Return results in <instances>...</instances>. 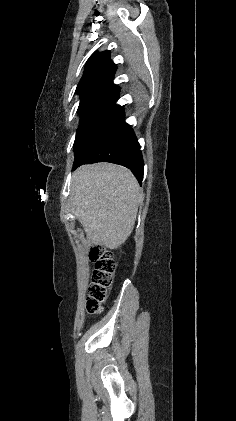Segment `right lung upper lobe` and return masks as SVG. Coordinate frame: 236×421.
<instances>
[{
  "label": "right lung upper lobe",
  "mask_w": 236,
  "mask_h": 421,
  "mask_svg": "<svg viewBox=\"0 0 236 421\" xmlns=\"http://www.w3.org/2000/svg\"><path fill=\"white\" fill-rule=\"evenodd\" d=\"M116 65L110 59V52H96L87 61L83 76L77 86L76 93L115 86L112 84Z\"/></svg>",
  "instance_id": "1"
}]
</instances>
